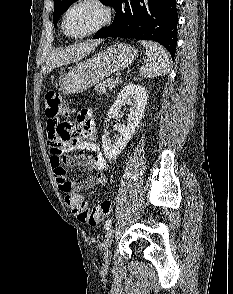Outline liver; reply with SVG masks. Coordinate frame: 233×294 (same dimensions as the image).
<instances>
[{
	"mask_svg": "<svg viewBox=\"0 0 233 294\" xmlns=\"http://www.w3.org/2000/svg\"><path fill=\"white\" fill-rule=\"evenodd\" d=\"M100 42V40H97L92 43H81L79 45L71 46L65 50H61L60 52L53 54L46 61L45 66L42 68V72L46 74L56 67L66 65L71 62H76L84 58L92 51H94Z\"/></svg>",
	"mask_w": 233,
	"mask_h": 294,
	"instance_id": "liver-1",
	"label": "liver"
}]
</instances>
